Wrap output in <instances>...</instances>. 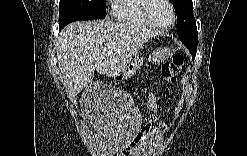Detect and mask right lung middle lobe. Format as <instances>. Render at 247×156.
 Returning <instances> with one entry per match:
<instances>
[{"instance_id": "dd1d6c3e", "label": "right lung middle lobe", "mask_w": 247, "mask_h": 156, "mask_svg": "<svg viewBox=\"0 0 247 156\" xmlns=\"http://www.w3.org/2000/svg\"><path fill=\"white\" fill-rule=\"evenodd\" d=\"M105 14V0H60L59 29L74 21L99 19Z\"/></svg>"}]
</instances>
